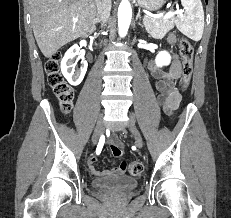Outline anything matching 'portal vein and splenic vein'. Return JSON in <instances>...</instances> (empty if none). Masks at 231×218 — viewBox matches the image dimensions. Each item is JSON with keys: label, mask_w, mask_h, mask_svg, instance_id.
<instances>
[{"label": "portal vein and splenic vein", "mask_w": 231, "mask_h": 218, "mask_svg": "<svg viewBox=\"0 0 231 218\" xmlns=\"http://www.w3.org/2000/svg\"><path fill=\"white\" fill-rule=\"evenodd\" d=\"M182 11L181 10H176V11H169L167 12L164 16L163 15H160V16H153V15H148V16H145V18H158V17H163V19H168V18H171L173 17L175 14H181ZM73 22H77L78 19L77 18H73L72 20Z\"/></svg>", "instance_id": "portal-vein-and-splenic-vein-1"}]
</instances>
